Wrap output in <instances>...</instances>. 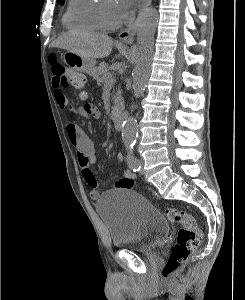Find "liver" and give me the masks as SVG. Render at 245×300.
<instances>
[{"label": "liver", "mask_w": 245, "mask_h": 300, "mask_svg": "<svg viewBox=\"0 0 245 300\" xmlns=\"http://www.w3.org/2000/svg\"><path fill=\"white\" fill-rule=\"evenodd\" d=\"M50 47L74 52L84 58L96 59L109 56L113 47L111 37L99 33H64Z\"/></svg>", "instance_id": "6515ba94"}]
</instances>
